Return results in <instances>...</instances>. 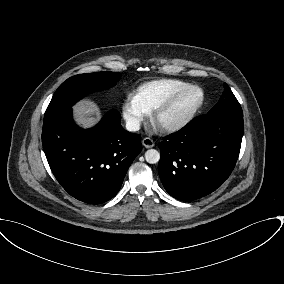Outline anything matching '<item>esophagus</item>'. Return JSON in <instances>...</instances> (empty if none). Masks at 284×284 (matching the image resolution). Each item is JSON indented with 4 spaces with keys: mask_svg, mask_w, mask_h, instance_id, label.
<instances>
[{
    "mask_svg": "<svg viewBox=\"0 0 284 284\" xmlns=\"http://www.w3.org/2000/svg\"><path fill=\"white\" fill-rule=\"evenodd\" d=\"M142 145L146 148H152L154 146V141L151 138L146 137L142 140Z\"/></svg>",
    "mask_w": 284,
    "mask_h": 284,
    "instance_id": "obj_1",
    "label": "esophagus"
}]
</instances>
